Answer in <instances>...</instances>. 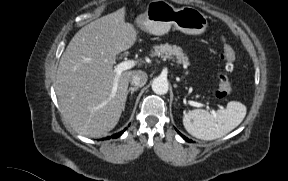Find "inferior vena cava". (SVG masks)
<instances>
[{
    "instance_id": "obj_1",
    "label": "inferior vena cava",
    "mask_w": 288,
    "mask_h": 181,
    "mask_svg": "<svg viewBox=\"0 0 288 181\" xmlns=\"http://www.w3.org/2000/svg\"><path fill=\"white\" fill-rule=\"evenodd\" d=\"M147 78L146 72L138 70L132 75L130 83L134 86L142 87L146 84Z\"/></svg>"
}]
</instances>
